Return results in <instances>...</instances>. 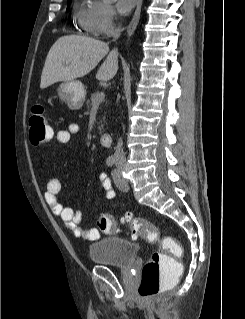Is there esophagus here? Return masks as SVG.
<instances>
[{"label":"esophagus","instance_id":"esophagus-1","mask_svg":"<svg viewBox=\"0 0 245 319\" xmlns=\"http://www.w3.org/2000/svg\"><path fill=\"white\" fill-rule=\"evenodd\" d=\"M142 1L143 0H137V7L135 10V13L133 15V18L131 22L129 23L127 27V36L131 37L136 30V27L138 25L139 19H140V12H141V7H142Z\"/></svg>","mask_w":245,"mask_h":319}]
</instances>
